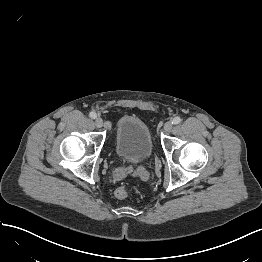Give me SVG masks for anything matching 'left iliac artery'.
I'll return each instance as SVG.
<instances>
[{
  "label": "left iliac artery",
  "instance_id": "obj_1",
  "mask_svg": "<svg viewBox=\"0 0 262 262\" xmlns=\"http://www.w3.org/2000/svg\"><path fill=\"white\" fill-rule=\"evenodd\" d=\"M181 122V118L180 117H175L173 120H172V124L176 125V124H179Z\"/></svg>",
  "mask_w": 262,
  "mask_h": 262
}]
</instances>
